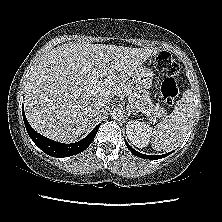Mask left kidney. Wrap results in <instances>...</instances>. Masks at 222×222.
Returning <instances> with one entry per match:
<instances>
[{"label": "left kidney", "mask_w": 222, "mask_h": 222, "mask_svg": "<svg viewBox=\"0 0 222 222\" xmlns=\"http://www.w3.org/2000/svg\"><path fill=\"white\" fill-rule=\"evenodd\" d=\"M126 134L131 143L138 147H146L151 136V127L138 120H130L126 125Z\"/></svg>", "instance_id": "left-kidney-1"}]
</instances>
